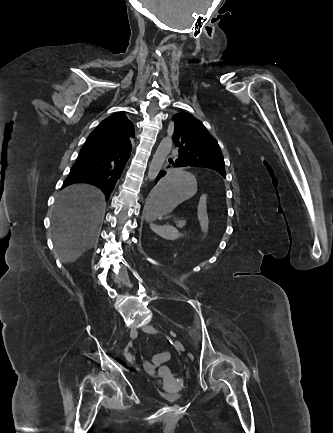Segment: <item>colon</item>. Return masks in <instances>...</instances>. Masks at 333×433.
<instances>
[{
    "instance_id": "5ec220e1",
    "label": "colon",
    "mask_w": 333,
    "mask_h": 433,
    "mask_svg": "<svg viewBox=\"0 0 333 433\" xmlns=\"http://www.w3.org/2000/svg\"><path fill=\"white\" fill-rule=\"evenodd\" d=\"M206 202H207V198L205 196H203L200 199V208H199V213H198V219H199V224L202 228V232H204L206 230V214H205V206H206ZM170 358V354L168 352H161L158 354H155L151 357L150 363L149 365L152 368L158 367L160 362H167Z\"/></svg>"
}]
</instances>
